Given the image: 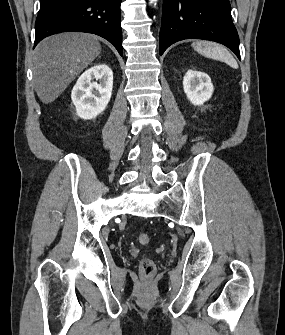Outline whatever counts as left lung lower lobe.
Returning a JSON list of instances; mask_svg holds the SVG:
<instances>
[{
  "mask_svg": "<svg viewBox=\"0 0 285 335\" xmlns=\"http://www.w3.org/2000/svg\"><path fill=\"white\" fill-rule=\"evenodd\" d=\"M160 55L173 43L203 39L221 43L240 59L229 0H163Z\"/></svg>",
  "mask_w": 285,
  "mask_h": 335,
  "instance_id": "obj_1",
  "label": "left lung lower lobe"
}]
</instances>
